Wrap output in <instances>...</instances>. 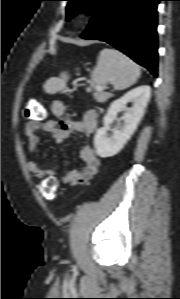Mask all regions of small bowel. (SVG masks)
<instances>
[{
  "instance_id": "obj_1",
  "label": "small bowel",
  "mask_w": 180,
  "mask_h": 299,
  "mask_svg": "<svg viewBox=\"0 0 180 299\" xmlns=\"http://www.w3.org/2000/svg\"><path fill=\"white\" fill-rule=\"evenodd\" d=\"M51 111L57 118L55 120H29L25 125V134L28 139V149L35 153L38 149L40 137L39 132L44 131L51 134L56 143H62L72 137L74 133H83L91 136L97 129L98 116L95 111H88L80 120L73 119L66 114V105L62 100L56 99L51 103ZM82 166L72 168L64 175H59L58 167H41L37 162L28 163L29 170L34 176L44 178L48 176L58 177L63 183L69 185H80L88 182L99 170L101 161L96 156L93 146L85 143L80 149Z\"/></svg>"
}]
</instances>
